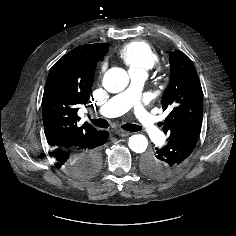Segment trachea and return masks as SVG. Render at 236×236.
Returning <instances> with one entry per match:
<instances>
[{
	"mask_svg": "<svg viewBox=\"0 0 236 236\" xmlns=\"http://www.w3.org/2000/svg\"><path fill=\"white\" fill-rule=\"evenodd\" d=\"M91 122L100 128H108L109 127V123L107 120L105 119H95V120H91ZM122 128L126 131H131V132H136L141 130V127L135 124H124L122 125Z\"/></svg>",
	"mask_w": 236,
	"mask_h": 236,
	"instance_id": "1",
	"label": "trachea"
}]
</instances>
